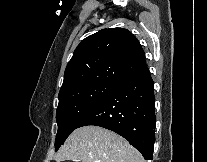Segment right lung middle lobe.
<instances>
[{
  "mask_svg": "<svg viewBox=\"0 0 207 162\" xmlns=\"http://www.w3.org/2000/svg\"><path fill=\"white\" fill-rule=\"evenodd\" d=\"M115 85L94 84L76 88L59 95L56 112L58 132L55 151L78 128L82 120L112 91Z\"/></svg>",
  "mask_w": 207,
  "mask_h": 162,
  "instance_id": "obj_1",
  "label": "right lung middle lobe"
}]
</instances>
